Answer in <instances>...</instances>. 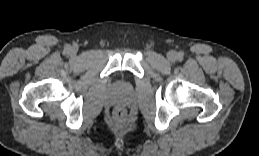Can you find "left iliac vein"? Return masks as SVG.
Instances as JSON below:
<instances>
[{
	"label": "left iliac vein",
	"instance_id": "1",
	"mask_svg": "<svg viewBox=\"0 0 259 156\" xmlns=\"http://www.w3.org/2000/svg\"><path fill=\"white\" fill-rule=\"evenodd\" d=\"M167 58H168V60L171 61V62L176 61V59H177V54H176V52L170 51V52L167 54Z\"/></svg>",
	"mask_w": 259,
	"mask_h": 156
}]
</instances>
